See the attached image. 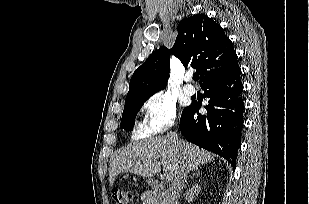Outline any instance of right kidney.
Instances as JSON below:
<instances>
[{
	"mask_svg": "<svg viewBox=\"0 0 309 204\" xmlns=\"http://www.w3.org/2000/svg\"><path fill=\"white\" fill-rule=\"evenodd\" d=\"M200 186L198 184H195L190 188L185 195V198L188 202H192L194 197H196L200 193Z\"/></svg>",
	"mask_w": 309,
	"mask_h": 204,
	"instance_id": "1",
	"label": "right kidney"
}]
</instances>
